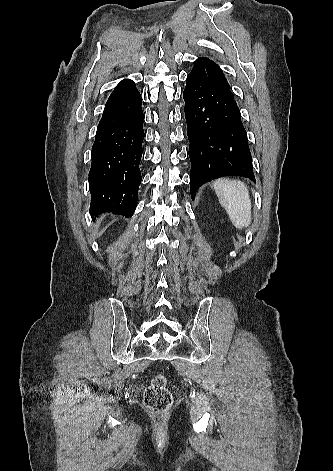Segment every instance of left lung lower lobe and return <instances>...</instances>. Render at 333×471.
<instances>
[{
  "instance_id": "left-lung-lower-lobe-1",
  "label": "left lung lower lobe",
  "mask_w": 333,
  "mask_h": 471,
  "mask_svg": "<svg viewBox=\"0 0 333 471\" xmlns=\"http://www.w3.org/2000/svg\"><path fill=\"white\" fill-rule=\"evenodd\" d=\"M190 141V190L211 179L239 175L255 181L241 113L219 66L206 57L194 62L183 93Z\"/></svg>"
}]
</instances>
